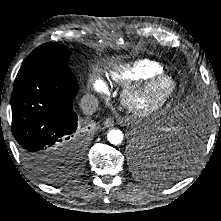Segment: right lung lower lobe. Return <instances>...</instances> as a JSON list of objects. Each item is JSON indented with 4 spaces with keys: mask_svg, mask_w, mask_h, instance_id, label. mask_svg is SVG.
Returning <instances> with one entry per match:
<instances>
[{
    "mask_svg": "<svg viewBox=\"0 0 221 221\" xmlns=\"http://www.w3.org/2000/svg\"><path fill=\"white\" fill-rule=\"evenodd\" d=\"M78 83L70 69L36 75L11 96L12 133L20 153L35 167L68 161L82 164L86 141L73 110Z\"/></svg>",
    "mask_w": 221,
    "mask_h": 221,
    "instance_id": "98d812e1",
    "label": "right lung lower lobe"
}]
</instances>
